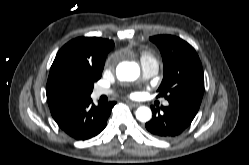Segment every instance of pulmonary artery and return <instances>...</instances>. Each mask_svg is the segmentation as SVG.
<instances>
[{
	"label": "pulmonary artery",
	"instance_id": "1",
	"mask_svg": "<svg viewBox=\"0 0 249 165\" xmlns=\"http://www.w3.org/2000/svg\"><path fill=\"white\" fill-rule=\"evenodd\" d=\"M141 68H142V77L144 79L151 78L154 75H156L158 72V65L153 59L142 58L141 59ZM112 93H113V90H110V89L104 88V87H98L94 90L93 97L97 98V97H100L102 95H109ZM163 105L167 106L168 101L164 100Z\"/></svg>",
	"mask_w": 249,
	"mask_h": 165
}]
</instances>
